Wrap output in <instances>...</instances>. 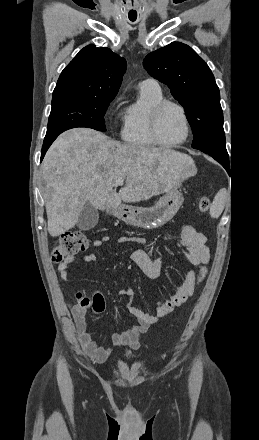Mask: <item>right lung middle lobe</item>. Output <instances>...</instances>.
I'll return each instance as SVG.
<instances>
[{"mask_svg":"<svg viewBox=\"0 0 259 440\" xmlns=\"http://www.w3.org/2000/svg\"><path fill=\"white\" fill-rule=\"evenodd\" d=\"M113 99L78 94L53 96L45 138L76 127L105 131L104 114Z\"/></svg>","mask_w":259,"mask_h":440,"instance_id":"right-lung-middle-lobe-1","label":"right lung middle lobe"}]
</instances>
